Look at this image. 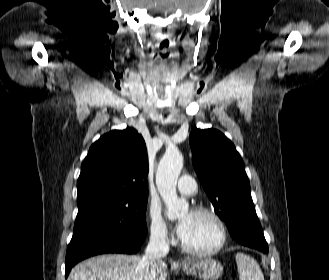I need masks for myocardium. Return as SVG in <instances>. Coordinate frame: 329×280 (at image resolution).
<instances>
[{"label":"myocardium","instance_id":"myocardium-1","mask_svg":"<svg viewBox=\"0 0 329 280\" xmlns=\"http://www.w3.org/2000/svg\"><path fill=\"white\" fill-rule=\"evenodd\" d=\"M191 213L198 215H205L212 219L216 224L219 231V238L217 243L208 249H196L188 246L181 238H180V246L186 253L193 256H212L217 254L219 251L223 249L227 241V227L221 218V216L215 212L214 210L204 207V206H196L191 210Z\"/></svg>","mask_w":329,"mask_h":280}]
</instances>
